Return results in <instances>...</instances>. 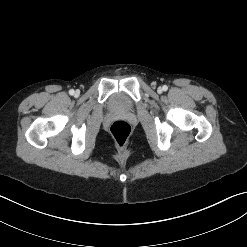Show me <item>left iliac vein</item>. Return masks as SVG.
<instances>
[{"mask_svg": "<svg viewBox=\"0 0 247 247\" xmlns=\"http://www.w3.org/2000/svg\"><path fill=\"white\" fill-rule=\"evenodd\" d=\"M157 91L158 93H162L163 89L161 87H158Z\"/></svg>", "mask_w": 247, "mask_h": 247, "instance_id": "obj_1", "label": "left iliac vein"}]
</instances>
